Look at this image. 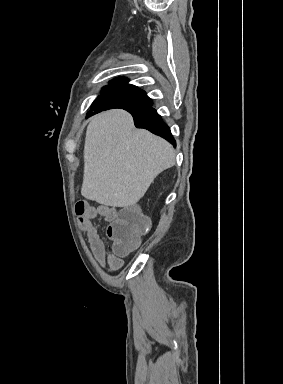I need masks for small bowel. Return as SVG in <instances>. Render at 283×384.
Segmentation results:
<instances>
[{
	"label": "small bowel",
	"mask_w": 283,
	"mask_h": 384,
	"mask_svg": "<svg viewBox=\"0 0 283 384\" xmlns=\"http://www.w3.org/2000/svg\"><path fill=\"white\" fill-rule=\"evenodd\" d=\"M117 215L118 210L109 205L88 206L80 219V226L87 233L95 259L101 266L107 268L109 271L120 269L124 261L113 247L107 245L93 222L98 217L112 222Z\"/></svg>",
	"instance_id": "1"
}]
</instances>
